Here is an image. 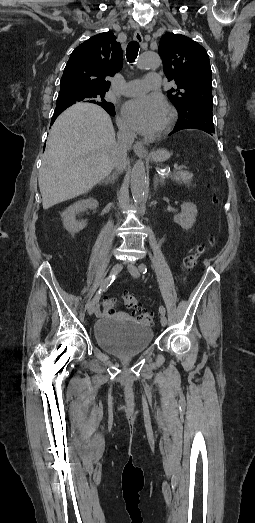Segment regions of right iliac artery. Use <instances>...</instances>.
<instances>
[{"mask_svg":"<svg viewBox=\"0 0 255 523\" xmlns=\"http://www.w3.org/2000/svg\"><path fill=\"white\" fill-rule=\"evenodd\" d=\"M115 278H116L115 275H110L103 280V282L101 283L100 289L98 290V292L96 293V295L93 298L94 302L97 303L99 301L101 293L103 291H105L112 284V282L115 280Z\"/></svg>","mask_w":255,"mask_h":523,"instance_id":"1","label":"right iliac artery"}]
</instances>
